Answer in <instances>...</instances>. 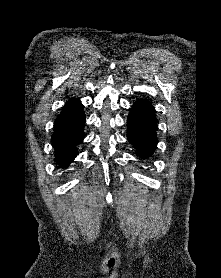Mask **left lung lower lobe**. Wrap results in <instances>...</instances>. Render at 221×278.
Segmentation results:
<instances>
[{
  "label": "left lung lower lobe",
  "mask_w": 221,
  "mask_h": 278,
  "mask_svg": "<svg viewBox=\"0 0 221 278\" xmlns=\"http://www.w3.org/2000/svg\"><path fill=\"white\" fill-rule=\"evenodd\" d=\"M127 139L135 146L140 157L151 155L157 145V120L148 100L136 101L127 119Z\"/></svg>",
  "instance_id": "obj_1"
}]
</instances>
